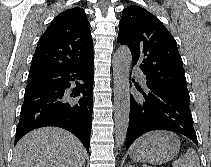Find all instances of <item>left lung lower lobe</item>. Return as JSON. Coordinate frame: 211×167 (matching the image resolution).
Returning a JSON list of instances; mask_svg holds the SVG:
<instances>
[{"mask_svg": "<svg viewBox=\"0 0 211 167\" xmlns=\"http://www.w3.org/2000/svg\"><path fill=\"white\" fill-rule=\"evenodd\" d=\"M137 90L142 94L141 97L136 98L130 94L126 149L139 136L152 130L181 133L198 146L189 101L156 88L148 87L146 91L137 88Z\"/></svg>", "mask_w": 211, "mask_h": 167, "instance_id": "left-lung-lower-lobe-1", "label": "left lung lower lobe"}]
</instances>
